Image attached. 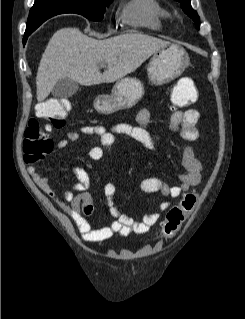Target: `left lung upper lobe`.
Listing matches in <instances>:
<instances>
[{
  "label": "left lung upper lobe",
  "mask_w": 245,
  "mask_h": 319,
  "mask_svg": "<svg viewBox=\"0 0 245 319\" xmlns=\"http://www.w3.org/2000/svg\"><path fill=\"white\" fill-rule=\"evenodd\" d=\"M181 3L184 12L195 21L197 29H199L200 21L196 11H194L190 5V0H177Z\"/></svg>",
  "instance_id": "left-lung-upper-lobe-1"
}]
</instances>
